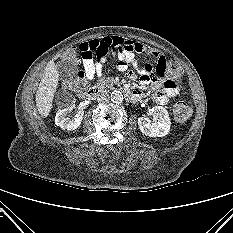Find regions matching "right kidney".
Wrapping results in <instances>:
<instances>
[{"instance_id":"ca27d5eb","label":"right kidney","mask_w":233,"mask_h":233,"mask_svg":"<svg viewBox=\"0 0 233 233\" xmlns=\"http://www.w3.org/2000/svg\"><path fill=\"white\" fill-rule=\"evenodd\" d=\"M75 100H72L70 105L66 108L59 109L55 116V124L62 129L75 130L82 122L84 111L79 110L72 118H68L67 114L73 109Z\"/></svg>"}]
</instances>
